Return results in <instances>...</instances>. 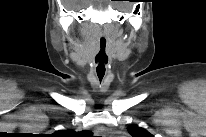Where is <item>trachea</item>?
I'll list each match as a JSON object with an SVG mask.
<instances>
[{
  "label": "trachea",
  "mask_w": 206,
  "mask_h": 137,
  "mask_svg": "<svg viewBox=\"0 0 206 137\" xmlns=\"http://www.w3.org/2000/svg\"><path fill=\"white\" fill-rule=\"evenodd\" d=\"M104 50H105V46H103L102 43H101V51H100V53H104L105 52ZM103 62L104 61L99 60V63H100L99 68H103L104 69ZM100 79H102V77Z\"/></svg>",
  "instance_id": "obj_1"
}]
</instances>
